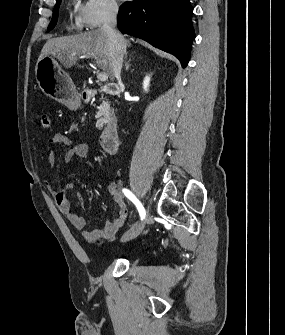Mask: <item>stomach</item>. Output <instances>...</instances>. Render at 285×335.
<instances>
[{"instance_id":"stomach-1","label":"stomach","mask_w":285,"mask_h":335,"mask_svg":"<svg viewBox=\"0 0 285 335\" xmlns=\"http://www.w3.org/2000/svg\"><path fill=\"white\" fill-rule=\"evenodd\" d=\"M37 84L49 98L76 110L80 106L78 94L71 78L63 72L52 56H42L35 66Z\"/></svg>"}]
</instances>
